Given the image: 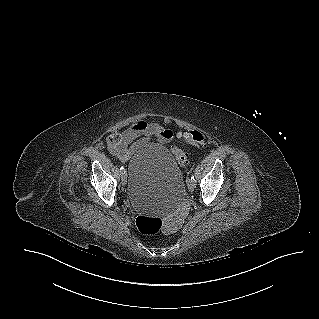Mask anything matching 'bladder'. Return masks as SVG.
I'll use <instances>...</instances> for the list:
<instances>
[{"mask_svg": "<svg viewBox=\"0 0 319 319\" xmlns=\"http://www.w3.org/2000/svg\"><path fill=\"white\" fill-rule=\"evenodd\" d=\"M126 175L127 196L137 211L166 213L183 198L182 171L164 145H144L129 160Z\"/></svg>", "mask_w": 319, "mask_h": 319, "instance_id": "31cf9c89", "label": "bladder"}]
</instances>
